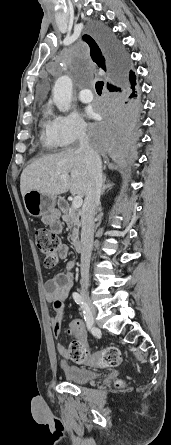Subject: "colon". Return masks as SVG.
I'll return each instance as SVG.
<instances>
[{
  "instance_id": "obj_1",
  "label": "colon",
  "mask_w": 171,
  "mask_h": 445,
  "mask_svg": "<svg viewBox=\"0 0 171 445\" xmlns=\"http://www.w3.org/2000/svg\"><path fill=\"white\" fill-rule=\"evenodd\" d=\"M35 240L43 255V263L46 267H54L58 264L59 248L61 241L59 236L51 230L38 228L35 230ZM70 359L76 363H89L100 368L118 366L122 361L120 350L115 346L106 347L91 354L87 345L79 341H73L69 347Z\"/></svg>"
}]
</instances>
